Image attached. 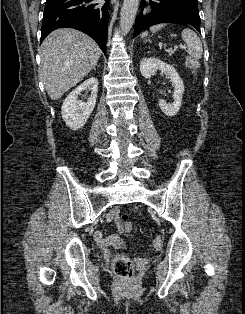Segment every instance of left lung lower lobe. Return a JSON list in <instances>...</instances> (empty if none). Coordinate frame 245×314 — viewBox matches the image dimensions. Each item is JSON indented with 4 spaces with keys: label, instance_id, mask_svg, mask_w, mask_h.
Wrapping results in <instances>:
<instances>
[{
    "label": "left lung lower lobe",
    "instance_id": "left-lung-lower-lobe-1",
    "mask_svg": "<svg viewBox=\"0 0 245 314\" xmlns=\"http://www.w3.org/2000/svg\"><path fill=\"white\" fill-rule=\"evenodd\" d=\"M151 13L141 15L136 19L134 37L145 28L160 23L177 22L192 25L200 32V17L198 8L173 2L172 0H150ZM145 7V0L141 2V10Z\"/></svg>",
    "mask_w": 245,
    "mask_h": 314
}]
</instances>
